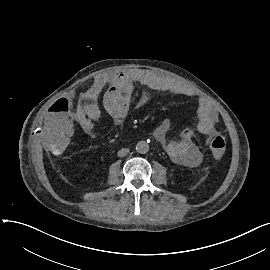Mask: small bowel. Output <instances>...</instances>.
Returning a JSON list of instances; mask_svg holds the SVG:
<instances>
[{
  "mask_svg": "<svg viewBox=\"0 0 270 270\" xmlns=\"http://www.w3.org/2000/svg\"><path fill=\"white\" fill-rule=\"evenodd\" d=\"M135 84L145 87L137 105L145 104L154 92L168 91L195 98L197 93L188 86L149 69L132 68L98 76L81 95L77 109V99L71 93L55 95L45 107V117L41 121L40 139L51 151H60L73 143V134L79 126L89 135L95 134V125L102 119L95 100L104 92L103 106L115 126L123 125L131 107ZM77 110V111H76ZM75 113V114H74ZM74 114V117L68 116ZM197 132L209 136L216 132V114L205 98L198 99ZM168 124L161 123L153 132L154 138L177 163L197 167L203 155L195 143L194 130L185 127L174 140L167 138Z\"/></svg>",
  "mask_w": 270,
  "mask_h": 270,
  "instance_id": "c3829d8e",
  "label": "small bowel"
}]
</instances>
